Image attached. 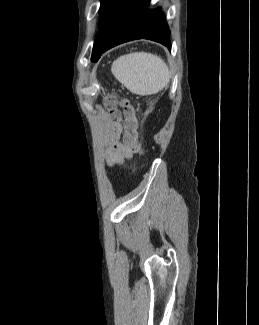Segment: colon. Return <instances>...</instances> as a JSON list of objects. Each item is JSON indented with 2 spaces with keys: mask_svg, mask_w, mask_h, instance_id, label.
I'll list each match as a JSON object with an SVG mask.
<instances>
[{
  "mask_svg": "<svg viewBox=\"0 0 259 325\" xmlns=\"http://www.w3.org/2000/svg\"><path fill=\"white\" fill-rule=\"evenodd\" d=\"M121 109L122 124L124 128L123 142L130 147L133 151H140L139 144V124L136 116L135 108L127 99H121L118 102ZM107 107L113 110V103L108 102ZM115 117V114H114ZM115 119H117L115 117ZM109 129H118V122H109Z\"/></svg>",
  "mask_w": 259,
  "mask_h": 325,
  "instance_id": "colon-1",
  "label": "colon"
}]
</instances>
